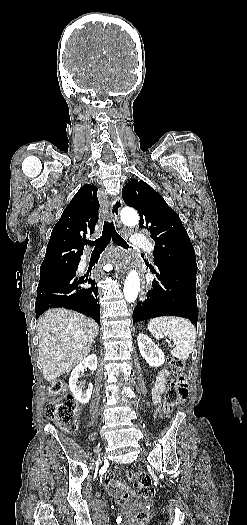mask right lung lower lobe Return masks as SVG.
Instances as JSON below:
<instances>
[{"instance_id":"1","label":"right lung lower lobe","mask_w":247,"mask_h":525,"mask_svg":"<svg viewBox=\"0 0 247 525\" xmlns=\"http://www.w3.org/2000/svg\"><path fill=\"white\" fill-rule=\"evenodd\" d=\"M80 256L77 257L78 261ZM78 264L71 271L45 277L39 281L35 303L36 317L47 309L63 307L84 313L100 323V306L95 281L91 278L77 277ZM83 283H90L91 287L82 288Z\"/></svg>"}]
</instances>
